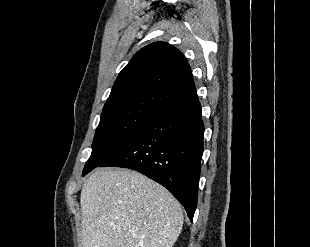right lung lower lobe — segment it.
<instances>
[{
  "instance_id": "obj_1",
  "label": "right lung lower lobe",
  "mask_w": 310,
  "mask_h": 247,
  "mask_svg": "<svg viewBox=\"0 0 310 247\" xmlns=\"http://www.w3.org/2000/svg\"><path fill=\"white\" fill-rule=\"evenodd\" d=\"M204 124L196 93L160 110L100 167L136 170L166 187L193 221Z\"/></svg>"
}]
</instances>
